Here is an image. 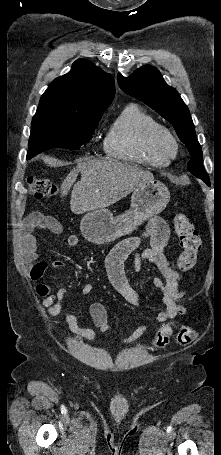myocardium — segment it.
<instances>
[{
	"instance_id": "myocardium-1",
	"label": "myocardium",
	"mask_w": 221,
	"mask_h": 455,
	"mask_svg": "<svg viewBox=\"0 0 221 455\" xmlns=\"http://www.w3.org/2000/svg\"><path fill=\"white\" fill-rule=\"evenodd\" d=\"M153 146L166 158H173L178 151V143L174 135L164 126L158 125L151 133Z\"/></svg>"
}]
</instances>
